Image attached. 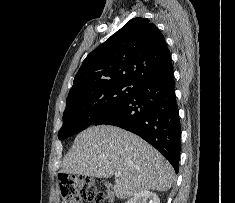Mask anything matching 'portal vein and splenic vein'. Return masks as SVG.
I'll list each match as a JSON object with an SVG mask.
<instances>
[{
	"label": "portal vein and splenic vein",
	"instance_id": "obj_1",
	"mask_svg": "<svg viewBox=\"0 0 235 203\" xmlns=\"http://www.w3.org/2000/svg\"><path fill=\"white\" fill-rule=\"evenodd\" d=\"M114 175H115V177H119L121 175V173L118 171V172H115Z\"/></svg>",
	"mask_w": 235,
	"mask_h": 203
}]
</instances>
